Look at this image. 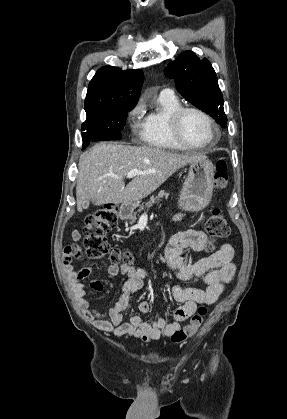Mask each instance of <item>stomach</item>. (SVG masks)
<instances>
[{"label":"stomach","instance_id":"obj_1","mask_svg":"<svg viewBox=\"0 0 287 419\" xmlns=\"http://www.w3.org/2000/svg\"><path fill=\"white\" fill-rule=\"evenodd\" d=\"M214 165L206 159L190 163L188 176L183 184L179 205L185 210L198 212L204 209L212 198ZM136 204H122L119 216L123 220H134Z\"/></svg>","mask_w":287,"mask_h":419}]
</instances>
